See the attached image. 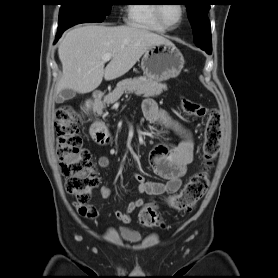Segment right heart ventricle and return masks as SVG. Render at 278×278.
<instances>
[{"mask_svg":"<svg viewBox=\"0 0 278 278\" xmlns=\"http://www.w3.org/2000/svg\"><path fill=\"white\" fill-rule=\"evenodd\" d=\"M129 24L146 30L164 33L165 28L155 16V5L147 3H134L128 6Z\"/></svg>","mask_w":278,"mask_h":278,"instance_id":"1","label":"right heart ventricle"}]
</instances>
